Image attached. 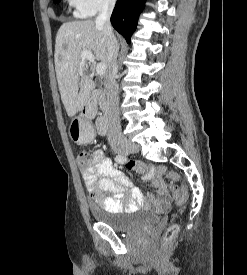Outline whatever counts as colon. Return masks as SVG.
<instances>
[{
    "label": "colon",
    "instance_id": "5ec220e1",
    "mask_svg": "<svg viewBox=\"0 0 247 275\" xmlns=\"http://www.w3.org/2000/svg\"><path fill=\"white\" fill-rule=\"evenodd\" d=\"M90 161H91V158L86 152L80 153V155L78 157V162L80 165H86ZM136 165H137V163L133 162V161L127 163V167L129 169H134L136 167ZM166 178L170 181L169 189H170L172 195L174 196V198L176 199L177 203L179 205H183L186 202L187 197H188L187 188L184 185L178 186V185L173 184V182L180 180V176L176 172H168L166 174ZM178 231H179V226L175 223L171 224L167 228V230L165 231V233L163 235L164 246H167L172 242V240L176 237Z\"/></svg>",
    "mask_w": 247,
    "mask_h": 275
}]
</instances>
